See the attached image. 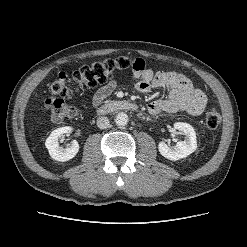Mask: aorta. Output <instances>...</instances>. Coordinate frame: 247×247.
<instances>
[{"mask_svg": "<svg viewBox=\"0 0 247 247\" xmlns=\"http://www.w3.org/2000/svg\"><path fill=\"white\" fill-rule=\"evenodd\" d=\"M128 115L124 112H120L116 115L115 117V123L118 125V126H125L127 125L128 123Z\"/></svg>", "mask_w": 247, "mask_h": 247, "instance_id": "obj_1", "label": "aorta"}]
</instances>
